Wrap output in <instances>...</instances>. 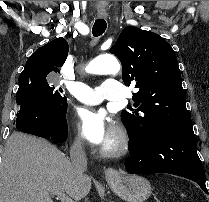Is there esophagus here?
I'll return each instance as SVG.
<instances>
[{"label": "esophagus", "instance_id": "34e87169", "mask_svg": "<svg viewBox=\"0 0 209 202\" xmlns=\"http://www.w3.org/2000/svg\"><path fill=\"white\" fill-rule=\"evenodd\" d=\"M98 17L101 19H105L108 17V14L106 12H100L98 13ZM104 175L106 180H112L118 176V171L112 167H107L104 169Z\"/></svg>", "mask_w": 209, "mask_h": 202}]
</instances>
